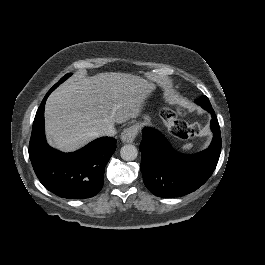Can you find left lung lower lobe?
Here are the masks:
<instances>
[{"mask_svg": "<svg viewBox=\"0 0 265 265\" xmlns=\"http://www.w3.org/2000/svg\"><path fill=\"white\" fill-rule=\"evenodd\" d=\"M195 102L212 117L214 137L208 149L195 155L180 154L160 132L153 128L143 129L140 167L146 187L156 196L172 198L191 193L202 186L216 168L221 151L218 120L206 96Z\"/></svg>", "mask_w": 265, "mask_h": 265, "instance_id": "left-lung-lower-lobe-1", "label": "left lung lower lobe"}]
</instances>
